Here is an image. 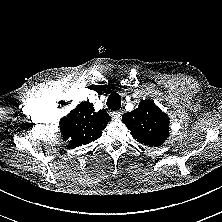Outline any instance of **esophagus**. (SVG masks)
<instances>
[{
    "label": "esophagus",
    "mask_w": 222,
    "mask_h": 222,
    "mask_svg": "<svg viewBox=\"0 0 222 222\" xmlns=\"http://www.w3.org/2000/svg\"><path fill=\"white\" fill-rule=\"evenodd\" d=\"M111 115L114 120H119L121 118L122 113L121 111H113Z\"/></svg>",
    "instance_id": "esophagus-1"
}]
</instances>
